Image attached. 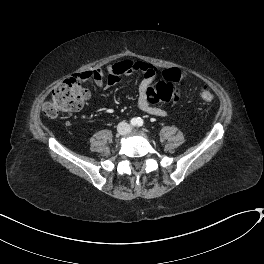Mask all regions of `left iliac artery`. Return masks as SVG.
I'll return each instance as SVG.
<instances>
[{"mask_svg": "<svg viewBox=\"0 0 264 264\" xmlns=\"http://www.w3.org/2000/svg\"><path fill=\"white\" fill-rule=\"evenodd\" d=\"M143 124H144L143 120L141 118H138L137 126L141 127V126H143Z\"/></svg>", "mask_w": 264, "mask_h": 264, "instance_id": "1", "label": "left iliac artery"}]
</instances>
